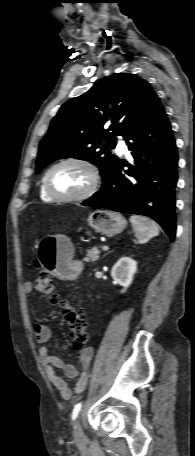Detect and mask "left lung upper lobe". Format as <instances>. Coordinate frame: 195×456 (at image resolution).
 <instances>
[{
  "mask_svg": "<svg viewBox=\"0 0 195 456\" xmlns=\"http://www.w3.org/2000/svg\"><path fill=\"white\" fill-rule=\"evenodd\" d=\"M156 97L149 83L134 74L98 80L53 118L39 146L36 172L54 160L77 158L98 166L104 180L119 161L110 153L115 136L125 137Z\"/></svg>",
  "mask_w": 195,
  "mask_h": 456,
  "instance_id": "1",
  "label": "left lung upper lobe"
}]
</instances>
